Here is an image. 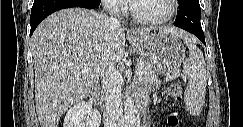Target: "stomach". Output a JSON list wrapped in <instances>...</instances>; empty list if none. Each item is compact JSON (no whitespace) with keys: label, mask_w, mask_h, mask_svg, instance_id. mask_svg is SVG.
Segmentation results:
<instances>
[{"label":"stomach","mask_w":243,"mask_h":127,"mask_svg":"<svg viewBox=\"0 0 243 127\" xmlns=\"http://www.w3.org/2000/svg\"><path fill=\"white\" fill-rule=\"evenodd\" d=\"M129 40L141 59L157 74H170L184 61L185 48L180 38L161 28L131 36Z\"/></svg>","instance_id":"0dacf381"}]
</instances>
